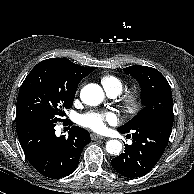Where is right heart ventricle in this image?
Returning a JSON list of instances; mask_svg holds the SVG:
<instances>
[{"label":"right heart ventricle","instance_id":"right-heart-ventricle-1","mask_svg":"<svg viewBox=\"0 0 194 194\" xmlns=\"http://www.w3.org/2000/svg\"><path fill=\"white\" fill-rule=\"evenodd\" d=\"M101 84L110 96L119 95L125 88L123 80L111 74L102 76Z\"/></svg>","mask_w":194,"mask_h":194}]
</instances>
